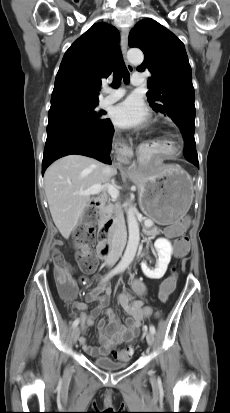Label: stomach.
Segmentation results:
<instances>
[{
	"instance_id": "obj_1",
	"label": "stomach",
	"mask_w": 230,
	"mask_h": 413,
	"mask_svg": "<svg viewBox=\"0 0 230 413\" xmlns=\"http://www.w3.org/2000/svg\"><path fill=\"white\" fill-rule=\"evenodd\" d=\"M134 181L142 212L159 225L179 220L191 206L193 184L188 173L178 166L140 169Z\"/></svg>"
}]
</instances>
